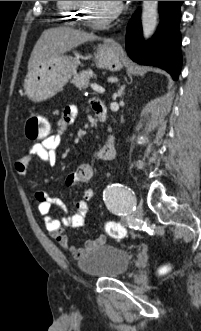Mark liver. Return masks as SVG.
<instances>
[{
	"instance_id": "obj_1",
	"label": "liver",
	"mask_w": 201,
	"mask_h": 331,
	"mask_svg": "<svg viewBox=\"0 0 201 331\" xmlns=\"http://www.w3.org/2000/svg\"><path fill=\"white\" fill-rule=\"evenodd\" d=\"M98 37L69 27L45 30L35 44L28 61V73L37 70L54 57Z\"/></svg>"
}]
</instances>
